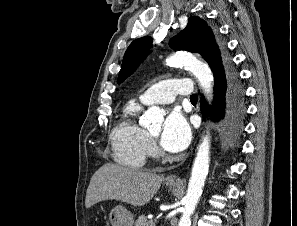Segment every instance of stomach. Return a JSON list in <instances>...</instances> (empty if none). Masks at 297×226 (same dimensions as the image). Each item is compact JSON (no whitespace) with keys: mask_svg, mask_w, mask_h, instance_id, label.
<instances>
[{"mask_svg":"<svg viewBox=\"0 0 297 226\" xmlns=\"http://www.w3.org/2000/svg\"><path fill=\"white\" fill-rule=\"evenodd\" d=\"M173 186L174 183H168ZM112 226H133L134 220L132 213L123 206H116L112 209L109 216Z\"/></svg>","mask_w":297,"mask_h":226,"instance_id":"obj_1","label":"stomach"}]
</instances>
